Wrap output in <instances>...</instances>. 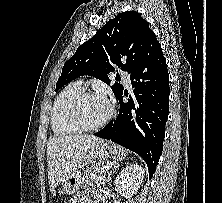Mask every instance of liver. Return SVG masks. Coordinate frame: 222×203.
Here are the masks:
<instances>
[{
	"mask_svg": "<svg viewBox=\"0 0 222 203\" xmlns=\"http://www.w3.org/2000/svg\"><path fill=\"white\" fill-rule=\"evenodd\" d=\"M104 141L91 135H56L47 143L50 190L53 191L72 173L92 163Z\"/></svg>",
	"mask_w": 222,
	"mask_h": 203,
	"instance_id": "liver-1",
	"label": "liver"
}]
</instances>
